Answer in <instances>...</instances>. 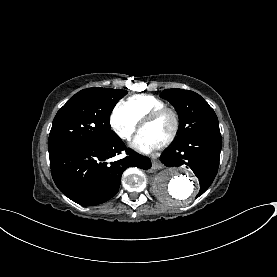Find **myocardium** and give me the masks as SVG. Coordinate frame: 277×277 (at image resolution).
<instances>
[{"label":"myocardium","mask_w":277,"mask_h":277,"mask_svg":"<svg viewBox=\"0 0 277 277\" xmlns=\"http://www.w3.org/2000/svg\"><path fill=\"white\" fill-rule=\"evenodd\" d=\"M165 114H169L172 117L173 128L170 134L162 142H160V146H166L170 144L177 136L180 128V118L178 113L174 109L167 106L157 108V109H152L146 113V115L140 121V125H139V128L142 130L144 126L156 121L157 119H159Z\"/></svg>","instance_id":"1"}]
</instances>
